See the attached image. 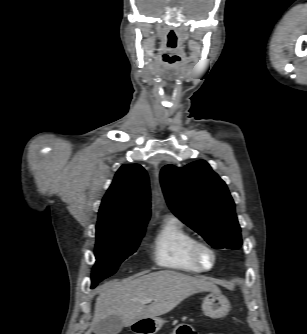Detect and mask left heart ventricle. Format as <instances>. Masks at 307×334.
Listing matches in <instances>:
<instances>
[{
  "label": "left heart ventricle",
  "mask_w": 307,
  "mask_h": 334,
  "mask_svg": "<svg viewBox=\"0 0 307 334\" xmlns=\"http://www.w3.org/2000/svg\"><path fill=\"white\" fill-rule=\"evenodd\" d=\"M202 259H203V262L206 265H210L211 264L212 257H211V255L208 252H206V251L202 252Z\"/></svg>",
  "instance_id": "b2bd125f"
}]
</instances>
